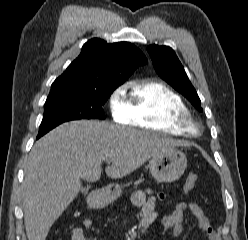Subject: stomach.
<instances>
[{"label": "stomach", "mask_w": 248, "mask_h": 240, "mask_svg": "<svg viewBox=\"0 0 248 240\" xmlns=\"http://www.w3.org/2000/svg\"><path fill=\"white\" fill-rule=\"evenodd\" d=\"M187 167L185 154L177 149L169 152L158 153L149 162L151 175L158 182L170 183L178 180ZM121 194V187L112 184L107 187L101 199L104 202H112Z\"/></svg>", "instance_id": "1"}]
</instances>
